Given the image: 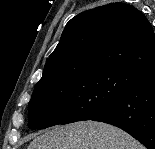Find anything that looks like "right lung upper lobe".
Segmentation results:
<instances>
[{
	"label": "right lung upper lobe",
	"mask_w": 155,
	"mask_h": 149,
	"mask_svg": "<svg viewBox=\"0 0 155 149\" xmlns=\"http://www.w3.org/2000/svg\"><path fill=\"white\" fill-rule=\"evenodd\" d=\"M105 69L155 74L154 31L132 5L111 3L72 18L47 59L40 81Z\"/></svg>",
	"instance_id": "right-lung-upper-lobe-1"
}]
</instances>
